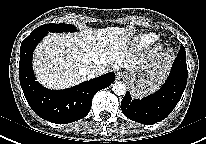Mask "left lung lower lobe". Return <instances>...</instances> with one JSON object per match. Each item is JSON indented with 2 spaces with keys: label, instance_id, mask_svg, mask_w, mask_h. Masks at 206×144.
Instances as JSON below:
<instances>
[{
  "label": "left lung lower lobe",
  "instance_id": "1",
  "mask_svg": "<svg viewBox=\"0 0 206 144\" xmlns=\"http://www.w3.org/2000/svg\"><path fill=\"white\" fill-rule=\"evenodd\" d=\"M187 83L186 52L181 45L165 84L154 94L132 100L127 92L121 101L123 114L141 124H154L165 119L181 99Z\"/></svg>",
  "mask_w": 206,
  "mask_h": 144
}]
</instances>
